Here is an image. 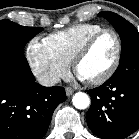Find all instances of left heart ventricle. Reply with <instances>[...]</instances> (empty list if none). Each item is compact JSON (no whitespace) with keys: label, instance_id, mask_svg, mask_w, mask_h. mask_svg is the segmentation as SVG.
Segmentation results:
<instances>
[{"label":"left heart ventricle","instance_id":"b2bd125f","mask_svg":"<svg viewBox=\"0 0 139 139\" xmlns=\"http://www.w3.org/2000/svg\"><path fill=\"white\" fill-rule=\"evenodd\" d=\"M115 51L116 43L113 35L110 33L103 34L79 62L78 75L86 80L101 76L112 63Z\"/></svg>","mask_w":139,"mask_h":139}]
</instances>
